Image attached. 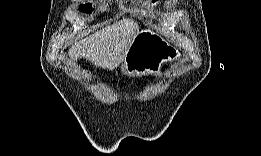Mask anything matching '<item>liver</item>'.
I'll use <instances>...</instances> for the list:
<instances>
[{"mask_svg":"<svg viewBox=\"0 0 261 156\" xmlns=\"http://www.w3.org/2000/svg\"><path fill=\"white\" fill-rule=\"evenodd\" d=\"M139 26L124 19L75 42L69 49L72 60L86 58L96 67L114 70L124 61Z\"/></svg>","mask_w":261,"mask_h":156,"instance_id":"liver-1","label":"liver"}]
</instances>
